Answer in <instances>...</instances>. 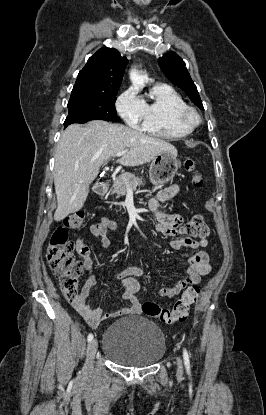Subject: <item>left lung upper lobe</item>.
I'll use <instances>...</instances> for the list:
<instances>
[{
	"label": "left lung upper lobe",
	"instance_id": "obj_1",
	"mask_svg": "<svg viewBox=\"0 0 266 415\" xmlns=\"http://www.w3.org/2000/svg\"><path fill=\"white\" fill-rule=\"evenodd\" d=\"M158 63L166 77L174 85L181 88L197 107L204 110L197 87L191 79L182 58L171 51L159 58Z\"/></svg>",
	"mask_w": 266,
	"mask_h": 415
}]
</instances>
